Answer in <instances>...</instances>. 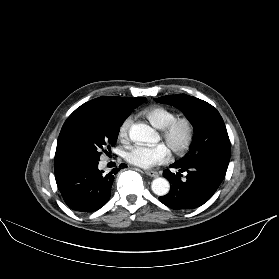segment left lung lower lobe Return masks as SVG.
<instances>
[{"mask_svg":"<svg viewBox=\"0 0 279 279\" xmlns=\"http://www.w3.org/2000/svg\"><path fill=\"white\" fill-rule=\"evenodd\" d=\"M170 167L179 169V172L163 171L171 190L159 200L172 209H194L203 205L213 196L226 174V171L207 162L183 166L174 163ZM184 171L187 172L186 180H181L180 172Z\"/></svg>","mask_w":279,"mask_h":279,"instance_id":"1","label":"left lung lower lobe"}]
</instances>
